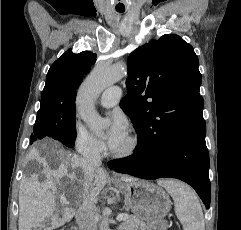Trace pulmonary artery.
I'll return each mask as SVG.
<instances>
[{"label":"pulmonary artery","mask_w":241,"mask_h":230,"mask_svg":"<svg viewBox=\"0 0 241 230\" xmlns=\"http://www.w3.org/2000/svg\"><path fill=\"white\" fill-rule=\"evenodd\" d=\"M122 95V90L119 87H110L106 89L101 97L100 104L105 108L113 107Z\"/></svg>","instance_id":"obj_1"}]
</instances>
